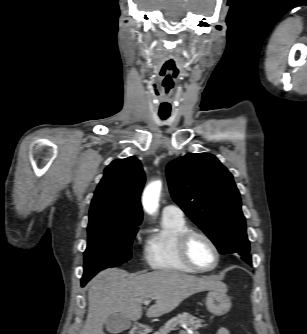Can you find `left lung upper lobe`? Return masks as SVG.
Masks as SVG:
<instances>
[{
  "mask_svg": "<svg viewBox=\"0 0 307 334\" xmlns=\"http://www.w3.org/2000/svg\"><path fill=\"white\" fill-rule=\"evenodd\" d=\"M174 201L221 254L239 253L251 264L240 193L232 174L212 154H187L167 165Z\"/></svg>",
  "mask_w": 307,
  "mask_h": 334,
  "instance_id": "obj_1",
  "label": "left lung upper lobe"
}]
</instances>
